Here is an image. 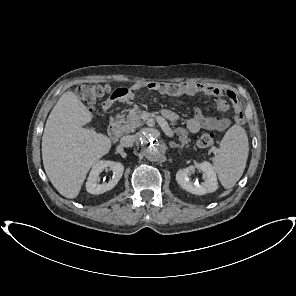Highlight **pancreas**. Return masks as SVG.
<instances>
[{"label": "pancreas", "instance_id": "pancreas-1", "mask_svg": "<svg viewBox=\"0 0 296 296\" xmlns=\"http://www.w3.org/2000/svg\"><path fill=\"white\" fill-rule=\"evenodd\" d=\"M142 110L139 108L132 109L126 116L125 114L117 115L116 119L119 124L120 131L122 133L134 132L137 128L144 124L141 118ZM179 138L182 146L189 147L190 138L188 137V132L182 127L173 128L172 130Z\"/></svg>", "mask_w": 296, "mask_h": 296}]
</instances>
